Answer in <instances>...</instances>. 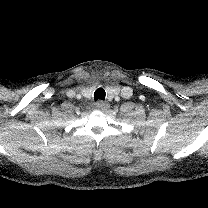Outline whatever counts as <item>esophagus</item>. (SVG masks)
Wrapping results in <instances>:
<instances>
[{"mask_svg":"<svg viewBox=\"0 0 208 208\" xmlns=\"http://www.w3.org/2000/svg\"><path fill=\"white\" fill-rule=\"evenodd\" d=\"M95 106L97 109L99 110H103V109H107L110 107V104L108 102H105V101H102V100H99L95 103Z\"/></svg>","mask_w":208,"mask_h":208,"instance_id":"34e87169","label":"esophagus"}]
</instances>
